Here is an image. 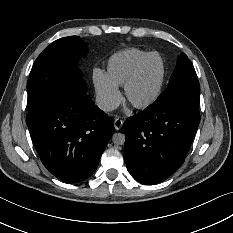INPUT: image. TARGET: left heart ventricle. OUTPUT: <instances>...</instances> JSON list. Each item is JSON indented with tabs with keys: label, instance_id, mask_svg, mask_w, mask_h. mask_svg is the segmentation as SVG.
I'll list each match as a JSON object with an SVG mask.
<instances>
[{
	"label": "left heart ventricle",
	"instance_id": "1",
	"mask_svg": "<svg viewBox=\"0 0 233 233\" xmlns=\"http://www.w3.org/2000/svg\"><path fill=\"white\" fill-rule=\"evenodd\" d=\"M164 74V62L154 56L140 74L129 91L130 100L134 103L150 101L158 91Z\"/></svg>",
	"mask_w": 233,
	"mask_h": 233
}]
</instances>
